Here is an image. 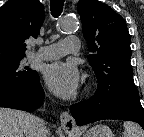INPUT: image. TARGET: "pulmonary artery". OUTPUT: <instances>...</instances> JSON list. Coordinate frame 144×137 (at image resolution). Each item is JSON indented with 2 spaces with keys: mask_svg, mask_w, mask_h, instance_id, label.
<instances>
[{
  "mask_svg": "<svg viewBox=\"0 0 144 137\" xmlns=\"http://www.w3.org/2000/svg\"><path fill=\"white\" fill-rule=\"evenodd\" d=\"M78 50L79 40L75 37H67L57 43L41 47L36 56L41 60H54Z\"/></svg>",
  "mask_w": 144,
  "mask_h": 137,
  "instance_id": "pulmonary-artery-1",
  "label": "pulmonary artery"
}]
</instances>
